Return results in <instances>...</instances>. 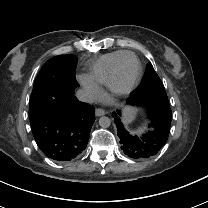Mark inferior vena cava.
<instances>
[{
    "label": "inferior vena cava",
    "instance_id": "1",
    "mask_svg": "<svg viewBox=\"0 0 208 208\" xmlns=\"http://www.w3.org/2000/svg\"><path fill=\"white\" fill-rule=\"evenodd\" d=\"M77 97L80 101L85 102V103H92L93 102V95L90 91L79 90L77 92Z\"/></svg>",
    "mask_w": 208,
    "mask_h": 208
}]
</instances>
